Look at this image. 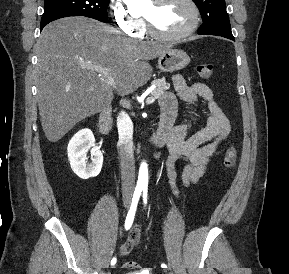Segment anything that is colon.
Masks as SVG:
<instances>
[{
    "label": "colon",
    "mask_w": 289,
    "mask_h": 274,
    "mask_svg": "<svg viewBox=\"0 0 289 274\" xmlns=\"http://www.w3.org/2000/svg\"><path fill=\"white\" fill-rule=\"evenodd\" d=\"M196 71L200 78L209 80L214 72V66L211 63H200L196 67ZM237 160V150L233 145H230L223 159V166L227 170L234 169ZM123 268L128 270H137L139 264L136 261H127L123 264Z\"/></svg>",
    "instance_id": "5ec220e1"
}]
</instances>
